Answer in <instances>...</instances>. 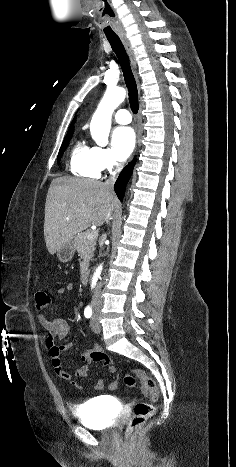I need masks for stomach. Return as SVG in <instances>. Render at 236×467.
<instances>
[{"label": "stomach", "mask_w": 236, "mask_h": 467, "mask_svg": "<svg viewBox=\"0 0 236 467\" xmlns=\"http://www.w3.org/2000/svg\"><path fill=\"white\" fill-rule=\"evenodd\" d=\"M75 253V246L72 240L65 242L60 248L57 250V257L58 259L63 262H69Z\"/></svg>", "instance_id": "0dacf381"}]
</instances>
